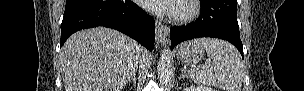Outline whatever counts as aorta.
Returning a JSON list of instances; mask_svg holds the SVG:
<instances>
[{
    "label": "aorta",
    "mask_w": 304,
    "mask_h": 91,
    "mask_svg": "<svg viewBox=\"0 0 304 91\" xmlns=\"http://www.w3.org/2000/svg\"><path fill=\"white\" fill-rule=\"evenodd\" d=\"M157 74L160 82L166 84L172 75V62L169 49H164L157 65Z\"/></svg>",
    "instance_id": "obj_1"
}]
</instances>
